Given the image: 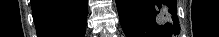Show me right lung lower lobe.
<instances>
[{
	"instance_id": "right-lung-lower-lobe-1",
	"label": "right lung lower lobe",
	"mask_w": 219,
	"mask_h": 37,
	"mask_svg": "<svg viewBox=\"0 0 219 37\" xmlns=\"http://www.w3.org/2000/svg\"><path fill=\"white\" fill-rule=\"evenodd\" d=\"M39 37H83L87 0H32Z\"/></svg>"
}]
</instances>
